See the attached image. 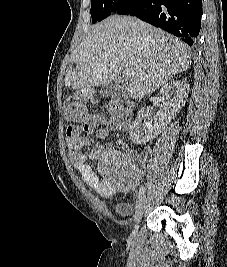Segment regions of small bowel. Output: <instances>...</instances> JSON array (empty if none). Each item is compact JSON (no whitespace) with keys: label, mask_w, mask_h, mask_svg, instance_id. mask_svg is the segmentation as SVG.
<instances>
[{"label":"small bowel","mask_w":227,"mask_h":267,"mask_svg":"<svg viewBox=\"0 0 227 267\" xmlns=\"http://www.w3.org/2000/svg\"><path fill=\"white\" fill-rule=\"evenodd\" d=\"M110 123L99 115H94L88 122H85L79 129L76 125H69L66 129V141L68 154L74 168L80 173L82 181L101 195H109L115 186L125 189L137 184L144 172V160L139 159L133 163H117L110 169L107 162L102 160L98 149H92L88 154L81 153L83 147H90L91 142L87 134L98 128L97 135L100 138L107 137ZM122 140H116L115 145H121ZM115 158H113L114 160ZM92 163L98 164L96 172Z\"/></svg>","instance_id":"1"}]
</instances>
